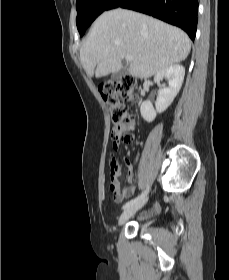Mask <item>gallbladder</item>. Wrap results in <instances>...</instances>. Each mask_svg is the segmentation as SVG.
<instances>
[{"label": "gallbladder", "instance_id": "obj_1", "mask_svg": "<svg viewBox=\"0 0 229 280\" xmlns=\"http://www.w3.org/2000/svg\"><path fill=\"white\" fill-rule=\"evenodd\" d=\"M127 74H128V69L127 68H122L120 71L114 73L112 75V78L115 79V80H119Z\"/></svg>", "mask_w": 229, "mask_h": 280}]
</instances>
